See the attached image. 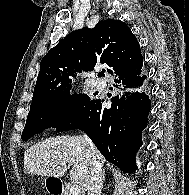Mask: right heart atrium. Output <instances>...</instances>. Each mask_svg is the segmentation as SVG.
Instances as JSON below:
<instances>
[{
  "label": "right heart atrium",
  "mask_w": 189,
  "mask_h": 195,
  "mask_svg": "<svg viewBox=\"0 0 189 195\" xmlns=\"http://www.w3.org/2000/svg\"><path fill=\"white\" fill-rule=\"evenodd\" d=\"M71 95H67L65 98H64V100H63V102H62V109L63 110H67V109H69V107H70V104H71Z\"/></svg>",
  "instance_id": "right-heart-atrium-1"
}]
</instances>
